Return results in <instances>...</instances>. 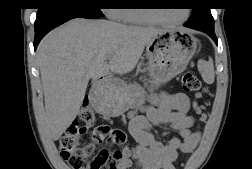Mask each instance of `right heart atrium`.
Here are the masks:
<instances>
[{
  "mask_svg": "<svg viewBox=\"0 0 252 169\" xmlns=\"http://www.w3.org/2000/svg\"><path fill=\"white\" fill-rule=\"evenodd\" d=\"M120 10L121 9H106V14L109 18L114 19V20H119L120 19Z\"/></svg>",
  "mask_w": 252,
  "mask_h": 169,
  "instance_id": "obj_1",
  "label": "right heart atrium"
}]
</instances>
